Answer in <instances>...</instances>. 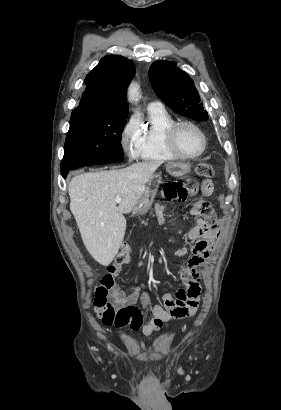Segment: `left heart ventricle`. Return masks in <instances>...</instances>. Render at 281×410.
<instances>
[{"label":"left heart ventricle","instance_id":"b2bd125f","mask_svg":"<svg viewBox=\"0 0 281 410\" xmlns=\"http://www.w3.org/2000/svg\"><path fill=\"white\" fill-rule=\"evenodd\" d=\"M177 144L186 154H196L203 146L201 135L194 128L183 126L177 132Z\"/></svg>","mask_w":281,"mask_h":410}]
</instances>
